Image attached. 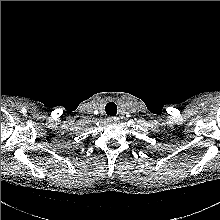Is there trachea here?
Instances as JSON below:
<instances>
[{"mask_svg": "<svg viewBox=\"0 0 220 220\" xmlns=\"http://www.w3.org/2000/svg\"><path fill=\"white\" fill-rule=\"evenodd\" d=\"M107 115L115 116L117 114V105L114 102H108L105 106Z\"/></svg>", "mask_w": 220, "mask_h": 220, "instance_id": "3493384b", "label": "trachea"}]
</instances>
